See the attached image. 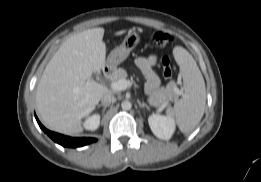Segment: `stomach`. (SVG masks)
Segmentation results:
<instances>
[{
    "instance_id": "1",
    "label": "stomach",
    "mask_w": 261,
    "mask_h": 182,
    "mask_svg": "<svg viewBox=\"0 0 261 182\" xmlns=\"http://www.w3.org/2000/svg\"><path fill=\"white\" fill-rule=\"evenodd\" d=\"M140 36L136 32H130L123 42L113 49L106 61V65L110 69H115L122 63L130 54V52L139 44Z\"/></svg>"
}]
</instances>
